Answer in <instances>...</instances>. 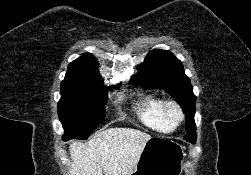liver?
<instances>
[{
    "mask_svg": "<svg viewBox=\"0 0 251 175\" xmlns=\"http://www.w3.org/2000/svg\"><path fill=\"white\" fill-rule=\"evenodd\" d=\"M151 135L130 127H109L86 143L72 141L69 175H130Z\"/></svg>",
    "mask_w": 251,
    "mask_h": 175,
    "instance_id": "6515ba94",
    "label": "liver"
}]
</instances>
